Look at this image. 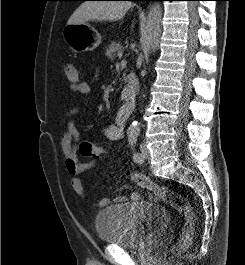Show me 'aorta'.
<instances>
[{
	"mask_svg": "<svg viewBox=\"0 0 245 265\" xmlns=\"http://www.w3.org/2000/svg\"><path fill=\"white\" fill-rule=\"evenodd\" d=\"M162 7L159 3H154L149 9L147 23L145 27L146 43L152 52H155L159 46L161 35ZM130 129L132 131L139 130V124L134 121Z\"/></svg>",
	"mask_w": 245,
	"mask_h": 265,
	"instance_id": "obj_1",
	"label": "aorta"
}]
</instances>
